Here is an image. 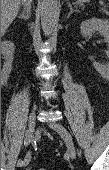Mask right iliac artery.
Returning a JSON list of instances; mask_svg holds the SVG:
<instances>
[{"instance_id": "1", "label": "right iliac artery", "mask_w": 109, "mask_h": 170, "mask_svg": "<svg viewBox=\"0 0 109 170\" xmlns=\"http://www.w3.org/2000/svg\"><path fill=\"white\" fill-rule=\"evenodd\" d=\"M30 143V141L28 139L25 138V141H24V145H28ZM23 160L19 159L18 162H17V166L21 167L23 165Z\"/></svg>"}]
</instances>
